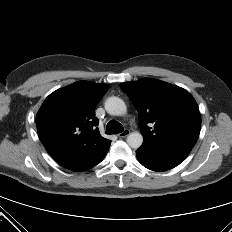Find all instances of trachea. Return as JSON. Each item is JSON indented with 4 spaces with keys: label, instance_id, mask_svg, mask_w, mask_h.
Listing matches in <instances>:
<instances>
[{
    "label": "trachea",
    "instance_id": "3493384b",
    "mask_svg": "<svg viewBox=\"0 0 232 232\" xmlns=\"http://www.w3.org/2000/svg\"><path fill=\"white\" fill-rule=\"evenodd\" d=\"M123 132V126L116 120H111L106 126V134H117Z\"/></svg>",
    "mask_w": 232,
    "mask_h": 232
}]
</instances>
